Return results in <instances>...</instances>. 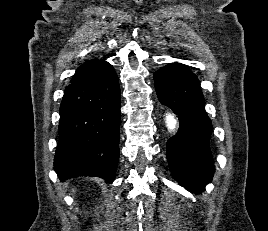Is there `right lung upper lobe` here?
<instances>
[{
    "instance_id": "right-lung-upper-lobe-1",
    "label": "right lung upper lobe",
    "mask_w": 268,
    "mask_h": 231,
    "mask_svg": "<svg viewBox=\"0 0 268 231\" xmlns=\"http://www.w3.org/2000/svg\"><path fill=\"white\" fill-rule=\"evenodd\" d=\"M102 61L93 59L91 61H88L84 64H82L75 72L72 80L80 78L84 76L85 74L89 73L93 68H95L98 64H100Z\"/></svg>"
}]
</instances>
